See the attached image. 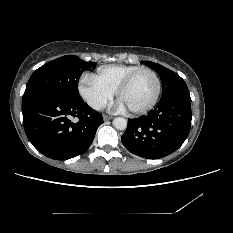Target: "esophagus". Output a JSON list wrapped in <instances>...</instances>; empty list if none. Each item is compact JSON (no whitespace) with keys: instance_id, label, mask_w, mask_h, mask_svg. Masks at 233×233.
<instances>
[{"instance_id":"esophagus-1","label":"esophagus","mask_w":233,"mask_h":233,"mask_svg":"<svg viewBox=\"0 0 233 233\" xmlns=\"http://www.w3.org/2000/svg\"><path fill=\"white\" fill-rule=\"evenodd\" d=\"M112 118H113V117L107 116V115H104V116H103V120H104V121L111 120Z\"/></svg>"}]
</instances>
